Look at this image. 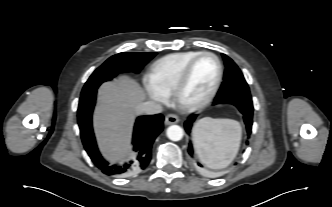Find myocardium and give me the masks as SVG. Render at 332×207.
Segmentation results:
<instances>
[{"instance_id":"1","label":"myocardium","mask_w":332,"mask_h":207,"mask_svg":"<svg viewBox=\"0 0 332 207\" xmlns=\"http://www.w3.org/2000/svg\"><path fill=\"white\" fill-rule=\"evenodd\" d=\"M205 56H211L212 58L215 59V61L217 63L216 79H215L214 84H213L212 88L210 89V91L203 98L196 100V101H187L184 98V92L188 85L192 70H193L195 64L202 57H205ZM222 76H223V66H222V63H221L219 57L212 52H208V51L201 52L200 54L195 56L183 69V71L175 85V88L173 90L174 102L180 109L189 111V112L203 108L204 106L209 104L212 101V99L215 97V95L217 94L221 81H222Z\"/></svg>"}]
</instances>
